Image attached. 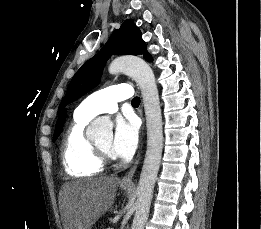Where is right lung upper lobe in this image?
Returning <instances> with one entry per match:
<instances>
[{
  "instance_id": "obj_1",
  "label": "right lung upper lobe",
  "mask_w": 261,
  "mask_h": 229,
  "mask_svg": "<svg viewBox=\"0 0 261 229\" xmlns=\"http://www.w3.org/2000/svg\"><path fill=\"white\" fill-rule=\"evenodd\" d=\"M65 117H66V110H64V111L61 113V115H60V117H59V119H58V121H57L56 126H57V125H63L64 120H65Z\"/></svg>"
}]
</instances>
